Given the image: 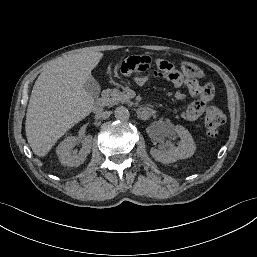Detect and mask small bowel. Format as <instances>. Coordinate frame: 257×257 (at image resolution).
<instances>
[{
	"instance_id": "1",
	"label": "small bowel",
	"mask_w": 257,
	"mask_h": 257,
	"mask_svg": "<svg viewBox=\"0 0 257 257\" xmlns=\"http://www.w3.org/2000/svg\"><path fill=\"white\" fill-rule=\"evenodd\" d=\"M117 72L120 77L131 79L133 84L139 88L148 86L152 77L172 82L175 87L174 96L179 100L186 98L182 87L192 95L198 96V100L189 104L181 112V117L186 121L198 119L207 102L212 98V85H200L194 77H186L181 70L173 68V64L169 60L152 62L151 58L144 53L120 60Z\"/></svg>"
}]
</instances>
